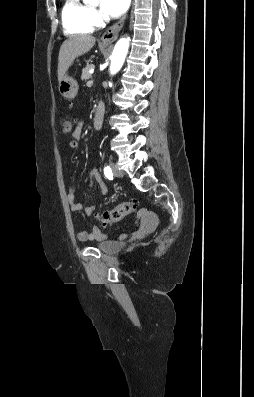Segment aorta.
I'll use <instances>...</instances> for the list:
<instances>
[{
  "mask_svg": "<svg viewBox=\"0 0 254 397\" xmlns=\"http://www.w3.org/2000/svg\"><path fill=\"white\" fill-rule=\"evenodd\" d=\"M88 3H96L98 0H85ZM130 39L122 38L120 39L113 50L111 56L110 73L116 74L122 67L125 57L129 49Z\"/></svg>",
  "mask_w": 254,
  "mask_h": 397,
  "instance_id": "aorta-1",
  "label": "aorta"
}]
</instances>
